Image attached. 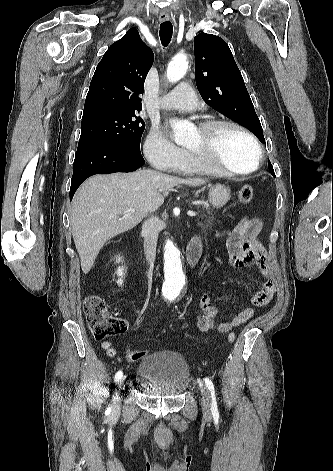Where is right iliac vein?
Segmentation results:
<instances>
[{"label":"right iliac vein","mask_w":333,"mask_h":471,"mask_svg":"<svg viewBox=\"0 0 333 471\" xmlns=\"http://www.w3.org/2000/svg\"><path fill=\"white\" fill-rule=\"evenodd\" d=\"M124 380H125L124 377L120 378L119 381H118V384H116V386H115V388H114V389H115V393H114V409H118V408L120 407V402H121V400H120L119 394H120V391H121V387H122V385H123V383H124Z\"/></svg>","instance_id":"right-iliac-vein-1"}]
</instances>
